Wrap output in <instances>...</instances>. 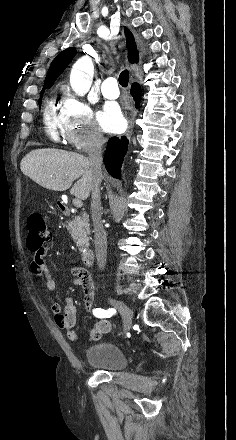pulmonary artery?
I'll return each instance as SVG.
<instances>
[{
    "label": "pulmonary artery",
    "mask_w": 236,
    "mask_h": 440,
    "mask_svg": "<svg viewBox=\"0 0 236 440\" xmlns=\"http://www.w3.org/2000/svg\"><path fill=\"white\" fill-rule=\"evenodd\" d=\"M101 92L106 98L116 99L119 96L117 80L114 77L106 78L102 83Z\"/></svg>",
    "instance_id": "e3ab8cb5"
}]
</instances>
